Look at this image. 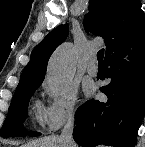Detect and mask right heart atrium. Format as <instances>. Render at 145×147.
Masks as SVG:
<instances>
[{
  "label": "right heart atrium",
  "mask_w": 145,
  "mask_h": 147,
  "mask_svg": "<svg viewBox=\"0 0 145 147\" xmlns=\"http://www.w3.org/2000/svg\"><path fill=\"white\" fill-rule=\"evenodd\" d=\"M49 96V101L43 110L45 126L55 131L71 123L78 111V92L75 87L59 93L50 91L44 86Z\"/></svg>",
  "instance_id": "d8ad5b80"
}]
</instances>
